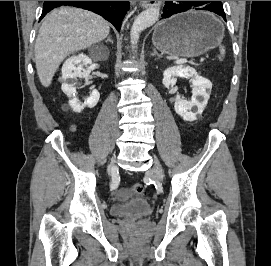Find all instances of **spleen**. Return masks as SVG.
Returning <instances> with one entry per match:
<instances>
[{
    "label": "spleen",
    "mask_w": 271,
    "mask_h": 266,
    "mask_svg": "<svg viewBox=\"0 0 271 266\" xmlns=\"http://www.w3.org/2000/svg\"><path fill=\"white\" fill-rule=\"evenodd\" d=\"M219 50H220V55L218 56V58H219V60H222V58L225 55V48H224V46H220Z\"/></svg>",
    "instance_id": "1"
}]
</instances>
